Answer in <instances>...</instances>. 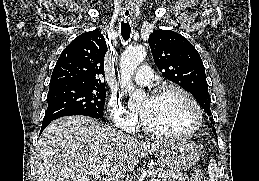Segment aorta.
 <instances>
[{"instance_id":"762f6f07","label":"aorta","mask_w":259,"mask_h":181,"mask_svg":"<svg viewBox=\"0 0 259 181\" xmlns=\"http://www.w3.org/2000/svg\"><path fill=\"white\" fill-rule=\"evenodd\" d=\"M145 57L146 49L139 45L127 48L120 58V86L129 95L128 107L130 109L139 108L146 96L142 90L135 89L131 81L135 69L142 63Z\"/></svg>"}]
</instances>
